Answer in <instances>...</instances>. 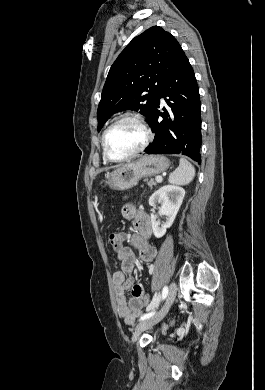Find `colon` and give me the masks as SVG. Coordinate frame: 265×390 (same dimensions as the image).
I'll return each instance as SVG.
<instances>
[{
	"instance_id": "5ec220e1",
	"label": "colon",
	"mask_w": 265,
	"mask_h": 390,
	"mask_svg": "<svg viewBox=\"0 0 265 390\" xmlns=\"http://www.w3.org/2000/svg\"><path fill=\"white\" fill-rule=\"evenodd\" d=\"M107 243L115 250L118 247V237L115 233H110L107 236ZM144 306L147 310H151L155 307V301H152L146 294L142 298Z\"/></svg>"
}]
</instances>
